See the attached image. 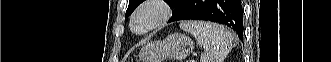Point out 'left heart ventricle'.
<instances>
[{
  "label": "left heart ventricle",
  "instance_id": "1",
  "mask_svg": "<svg viewBox=\"0 0 331 62\" xmlns=\"http://www.w3.org/2000/svg\"><path fill=\"white\" fill-rule=\"evenodd\" d=\"M146 22H147V18L140 20V22L138 23V27L142 28L143 26H145Z\"/></svg>",
  "mask_w": 331,
  "mask_h": 62
}]
</instances>
